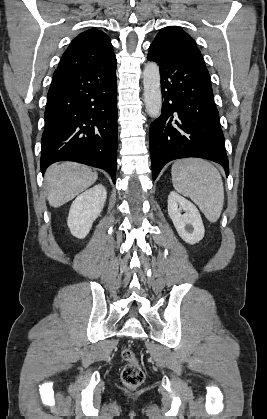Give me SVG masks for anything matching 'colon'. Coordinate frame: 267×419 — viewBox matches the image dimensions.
Wrapping results in <instances>:
<instances>
[{
	"instance_id": "obj_1",
	"label": "colon",
	"mask_w": 267,
	"mask_h": 419,
	"mask_svg": "<svg viewBox=\"0 0 267 419\" xmlns=\"http://www.w3.org/2000/svg\"><path fill=\"white\" fill-rule=\"evenodd\" d=\"M121 356L125 362L121 372L123 384L129 388L140 386L144 381L145 374L136 355L129 348H124Z\"/></svg>"
}]
</instances>
